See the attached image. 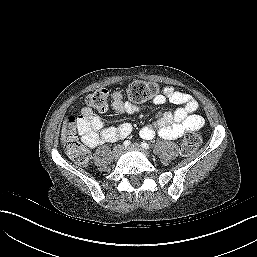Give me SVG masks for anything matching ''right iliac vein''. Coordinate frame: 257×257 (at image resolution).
Listing matches in <instances>:
<instances>
[{
    "label": "right iliac vein",
    "instance_id": "63e3f726",
    "mask_svg": "<svg viewBox=\"0 0 257 257\" xmlns=\"http://www.w3.org/2000/svg\"><path fill=\"white\" fill-rule=\"evenodd\" d=\"M112 153H113V157L115 159H118L121 156V154L123 153V146L122 145L115 146L113 148V152Z\"/></svg>",
    "mask_w": 257,
    "mask_h": 257
}]
</instances>
